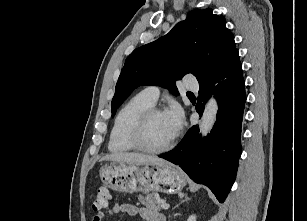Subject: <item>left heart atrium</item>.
<instances>
[{
	"instance_id": "1",
	"label": "left heart atrium",
	"mask_w": 307,
	"mask_h": 221,
	"mask_svg": "<svg viewBox=\"0 0 307 221\" xmlns=\"http://www.w3.org/2000/svg\"><path fill=\"white\" fill-rule=\"evenodd\" d=\"M166 115L171 124L174 135L178 133L183 124V112L178 105L172 106L167 112Z\"/></svg>"
}]
</instances>
